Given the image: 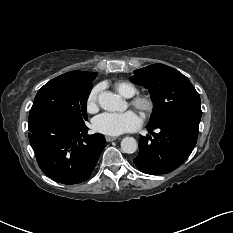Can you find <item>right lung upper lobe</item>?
<instances>
[{
  "mask_svg": "<svg viewBox=\"0 0 233 233\" xmlns=\"http://www.w3.org/2000/svg\"><path fill=\"white\" fill-rule=\"evenodd\" d=\"M71 74H87L89 72H83V71H72V72H69Z\"/></svg>",
  "mask_w": 233,
  "mask_h": 233,
  "instance_id": "1",
  "label": "right lung upper lobe"
}]
</instances>
